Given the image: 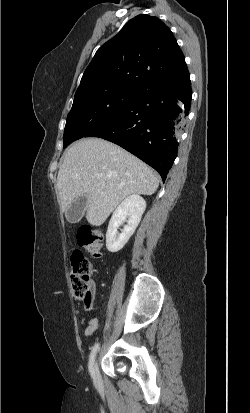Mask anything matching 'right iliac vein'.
I'll return each mask as SVG.
<instances>
[{"mask_svg": "<svg viewBox=\"0 0 250 413\" xmlns=\"http://www.w3.org/2000/svg\"><path fill=\"white\" fill-rule=\"evenodd\" d=\"M94 371H95L96 381L99 382V381H100V375H99V369H98L97 361H96V363L94 364Z\"/></svg>", "mask_w": 250, "mask_h": 413, "instance_id": "63e3f726", "label": "right iliac vein"}]
</instances>
